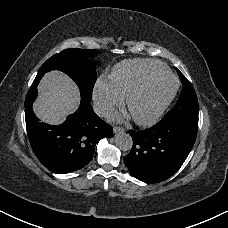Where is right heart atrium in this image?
Masks as SVG:
<instances>
[{
	"label": "right heart atrium",
	"instance_id": "1",
	"mask_svg": "<svg viewBox=\"0 0 228 228\" xmlns=\"http://www.w3.org/2000/svg\"><path fill=\"white\" fill-rule=\"evenodd\" d=\"M94 100L101 113H107L123 103V97L108 79H101L97 82Z\"/></svg>",
	"mask_w": 228,
	"mask_h": 228
}]
</instances>
